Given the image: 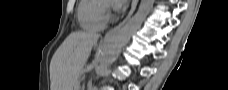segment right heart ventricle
I'll return each mask as SVG.
<instances>
[{"label": "right heart ventricle", "mask_w": 228, "mask_h": 90, "mask_svg": "<svg viewBox=\"0 0 228 90\" xmlns=\"http://www.w3.org/2000/svg\"><path fill=\"white\" fill-rule=\"evenodd\" d=\"M105 1L83 0L78 9V20L80 25L91 31H101L106 26V19L103 15Z\"/></svg>", "instance_id": "1"}]
</instances>
